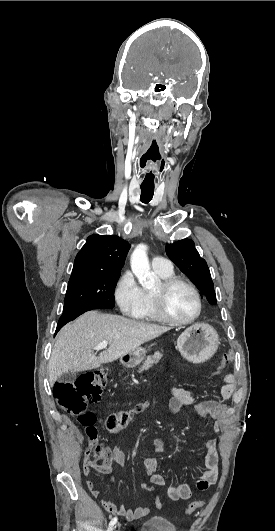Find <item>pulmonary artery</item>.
I'll use <instances>...</instances> for the list:
<instances>
[{
  "label": "pulmonary artery",
  "mask_w": 275,
  "mask_h": 531,
  "mask_svg": "<svg viewBox=\"0 0 275 531\" xmlns=\"http://www.w3.org/2000/svg\"><path fill=\"white\" fill-rule=\"evenodd\" d=\"M153 272L170 273L172 272L170 261H163L162 256L157 255L152 263Z\"/></svg>",
  "instance_id": "1"
}]
</instances>
